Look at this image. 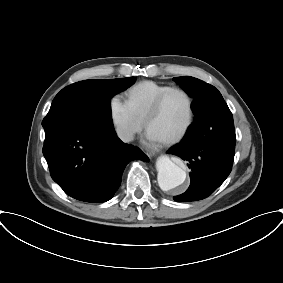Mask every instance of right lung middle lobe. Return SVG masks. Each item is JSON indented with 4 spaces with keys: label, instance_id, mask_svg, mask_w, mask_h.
Returning a JSON list of instances; mask_svg holds the SVG:
<instances>
[{
    "label": "right lung middle lobe",
    "instance_id": "obj_1",
    "mask_svg": "<svg viewBox=\"0 0 283 283\" xmlns=\"http://www.w3.org/2000/svg\"><path fill=\"white\" fill-rule=\"evenodd\" d=\"M134 81V77L91 79L65 87L56 95L42 121L45 133L62 126L113 128L110 99Z\"/></svg>",
    "mask_w": 283,
    "mask_h": 283
}]
</instances>
